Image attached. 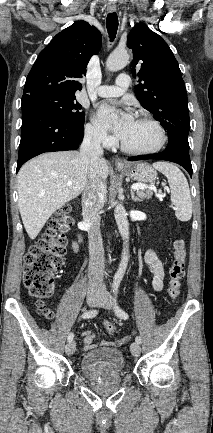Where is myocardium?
Returning <instances> with one entry per match:
<instances>
[{"label": "myocardium", "mask_w": 213, "mask_h": 433, "mask_svg": "<svg viewBox=\"0 0 213 433\" xmlns=\"http://www.w3.org/2000/svg\"><path fill=\"white\" fill-rule=\"evenodd\" d=\"M137 120L146 122L155 128V130L158 133L157 143L151 148L137 150V149H132V148L127 147L123 143V141L121 140L120 141L121 150L124 151L125 153L131 154V155H149V154H153V153L160 151L164 147V145L167 141V135H166V131H165L164 127L160 124V122H158L152 116L147 115V114L139 115L137 117Z\"/></svg>", "instance_id": "obj_1"}]
</instances>
